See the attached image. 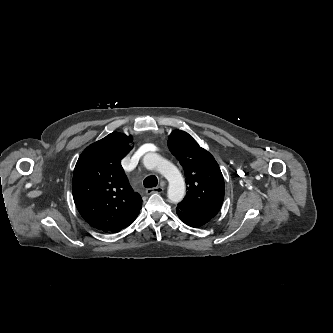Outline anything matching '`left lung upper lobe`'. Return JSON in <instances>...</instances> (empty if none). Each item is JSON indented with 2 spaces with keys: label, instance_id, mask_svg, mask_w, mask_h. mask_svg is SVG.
Masks as SVG:
<instances>
[{
  "label": "left lung upper lobe",
  "instance_id": "5c2ea615",
  "mask_svg": "<svg viewBox=\"0 0 333 333\" xmlns=\"http://www.w3.org/2000/svg\"><path fill=\"white\" fill-rule=\"evenodd\" d=\"M168 147L182 165L188 185L187 194L177 208L215 217L224 199L225 185L214 157L181 130H174L169 135Z\"/></svg>",
  "mask_w": 333,
  "mask_h": 333
}]
</instances>
